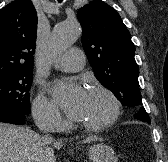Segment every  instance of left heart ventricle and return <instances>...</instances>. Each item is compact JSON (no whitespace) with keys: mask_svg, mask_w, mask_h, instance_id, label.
Returning <instances> with one entry per match:
<instances>
[{"mask_svg":"<svg viewBox=\"0 0 168 162\" xmlns=\"http://www.w3.org/2000/svg\"><path fill=\"white\" fill-rule=\"evenodd\" d=\"M111 111V104L109 99L96 92H88L87 100L79 118L83 123H99L106 119Z\"/></svg>","mask_w":168,"mask_h":162,"instance_id":"left-heart-ventricle-1","label":"left heart ventricle"}]
</instances>
